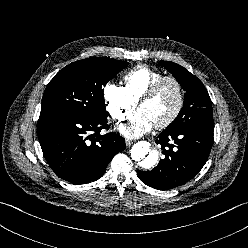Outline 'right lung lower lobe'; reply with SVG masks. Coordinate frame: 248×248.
I'll use <instances>...</instances> for the list:
<instances>
[{
	"mask_svg": "<svg viewBox=\"0 0 248 248\" xmlns=\"http://www.w3.org/2000/svg\"><path fill=\"white\" fill-rule=\"evenodd\" d=\"M107 126V118L41 113L37 132L46 161L59 177L71 183L98 180L112 158L125 149L119 134H100Z\"/></svg>",
	"mask_w": 248,
	"mask_h": 248,
	"instance_id": "obj_1",
	"label": "right lung lower lobe"
}]
</instances>
